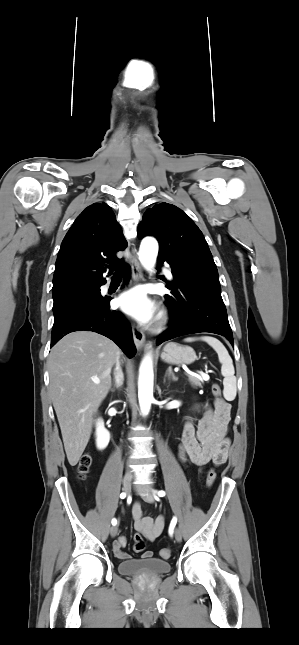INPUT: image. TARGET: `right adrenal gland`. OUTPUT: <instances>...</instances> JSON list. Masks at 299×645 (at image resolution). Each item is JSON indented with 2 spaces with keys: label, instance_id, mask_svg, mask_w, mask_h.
Returning a JSON list of instances; mask_svg holds the SVG:
<instances>
[{
  "label": "right adrenal gland",
  "instance_id": "2a0ac1e0",
  "mask_svg": "<svg viewBox=\"0 0 299 645\" xmlns=\"http://www.w3.org/2000/svg\"><path fill=\"white\" fill-rule=\"evenodd\" d=\"M115 387H116V388H118V386H117V385H116ZM111 391H112V392H114V391H115V388H112V389H111Z\"/></svg>",
  "mask_w": 299,
  "mask_h": 645
}]
</instances>
